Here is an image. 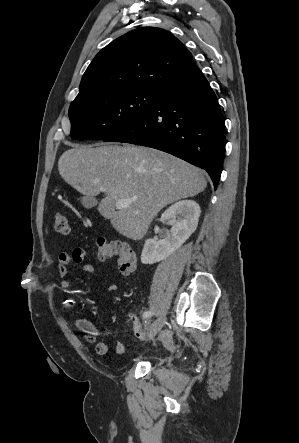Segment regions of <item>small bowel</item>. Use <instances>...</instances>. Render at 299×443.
Here are the masks:
<instances>
[{
    "instance_id": "c3829d8e",
    "label": "small bowel",
    "mask_w": 299,
    "mask_h": 443,
    "mask_svg": "<svg viewBox=\"0 0 299 443\" xmlns=\"http://www.w3.org/2000/svg\"><path fill=\"white\" fill-rule=\"evenodd\" d=\"M85 260H88V262L84 265V271L93 275H97L95 263L91 260L90 255L86 250L82 248H76L73 250L72 253L62 252L59 254L58 272L60 276V286L62 289L70 290L74 285L73 281L67 278V266L72 263L81 264ZM127 316L132 321L135 336L142 339L144 337V331L139 318L133 314H128ZM76 325L82 332L85 339L88 342L94 344L95 351L98 355H105L109 352V345L105 342L97 340V336H99L102 332L93 322L84 318H80L76 320ZM113 349L116 355H122L125 353V345L122 342L115 343Z\"/></svg>"
}]
</instances>
